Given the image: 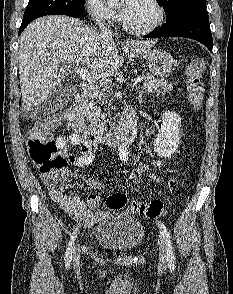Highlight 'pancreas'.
<instances>
[{
	"label": "pancreas",
	"mask_w": 233,
	"mask_h": 294,
	"mask_svg": "<svg viewBox=\"0 0 233 294\" xmlns=\"http://www.w3.org/2000/svg\"><path fill=\"white\" fill-rule=\"evenodd\" d=\"M177 83H169L165 80H159L153 77L150 74L145 75V81H144V88L147 89L149 92L153 91H171L173 89V85H176ZM97 94H95L93 97L97 98ZM98 103V100L94 102L87 101L85 105L83 106V111L87 119L91 122L92 125H94L96 128H103L104 123L101 121V118L103 116V113L101 112V109L96 104Z\"/></svg>",
	"instance_id": "1"
}]
</instances>
